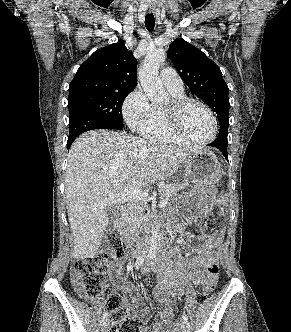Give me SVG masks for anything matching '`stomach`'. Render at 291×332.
Masks as SVG:
<instances>
[{
	"mask_svg": "<svg viewBox=\"0 0 291 332\" xmlns=\"http://www.w3.org/2000/svg\"><path fill=\"white\" fill-rule=\"evenodd\" d=\"M184 175L195 187L182 196L195 214L204 212L212 204L222 174L221 165L215 154L207 148L190 154L182 163Z\"/></svg>",
	"mask_w": 291,
	"mask_h": 332,
	"instance_id": "0dacf381",
	"label": "stomach"
}]
</instances>
